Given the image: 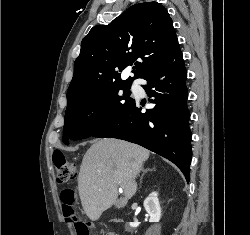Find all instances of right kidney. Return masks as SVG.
Listing matches in <instances>:
<instances>
[{"mask_svg":"<svg viewBox=\"0 0 250 235\" xmlns=\"http://www.w3.org/2000/svg\"><path fill=\"white\" fill-rule=\"evenodd\" d=\"M157 196L158 194L156 192H152L144 200V207L150 216V222H159L161 218V207ZM138 225V222L130 223L131 227H137Z\"/></svg>","mask_w":250,"mask_h":235,"instance_id":"1","label":"right kidney"}]
</instances>
